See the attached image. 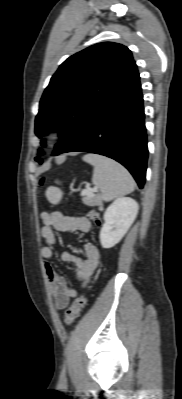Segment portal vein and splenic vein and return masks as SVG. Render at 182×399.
Returning a JSON list of instances; mask_svg holds the SVG:
<instances>
[{
	"instance_id": "1",
	"label": "portal vein and splenic vein",
	"mask_w": 182,
	"mask_h": 399,
	"mask_svg": "<svg viewBox=\"0 0 182 399\" xmlns=\"http://www.w3.org/2000/svg\"><path fill=\"white\" fill-rule=\"evenodd\" d=\"M84 194L92 196L93 192L91 190H85Z\"/></svg>"
}]
</instances>
